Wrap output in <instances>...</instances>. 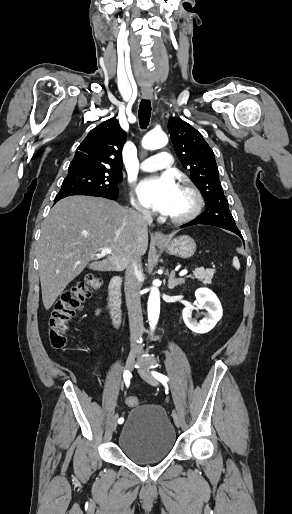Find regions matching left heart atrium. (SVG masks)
Listing matches in <instances>:
<instances>
[{"label": "left heart atrium", "instance_id": "left-heart-atrium-1", "mask_svg": "<svg viewBox=\"0 0 292 514\" xmlns=\"http://www.w3.org/2000/svg\"><path fill=\"white\" fill-rule=\"evenodd\" d=\"M180 187L175 178L168 174L150 177L142 181L138 194L144 205L154 211L170 213Z\"/></svg>", "mask_w": 292, "mask_h": 514}]
</instances>
